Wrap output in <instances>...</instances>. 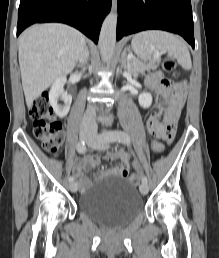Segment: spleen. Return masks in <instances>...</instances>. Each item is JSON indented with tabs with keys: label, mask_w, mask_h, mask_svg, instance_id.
I'll use <instances>...</instances> for the list:
<instances>
[{
	"label": "spleen",
	"mask_w": 219,
	"mask_h": 258,
	"mask_svg": "<svg viewBox=\"0 0 219 258\" xmlns=\"http://www.w3.org/2000/svg\"><path fill=\"white\" fill-rule=\"evenodd\" d=\"M131 45L134 53L143 60L160 51L175 57L186 70L191 69V57L185 42L178 36L160 30L142 31L134 35Z\"/></svg>",
	"instance_id": "spleen-1"
}]
</instances>
